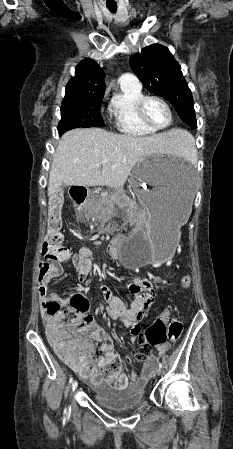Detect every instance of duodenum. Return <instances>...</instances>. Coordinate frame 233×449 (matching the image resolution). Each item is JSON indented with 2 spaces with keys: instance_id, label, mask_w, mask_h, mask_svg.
<instances>
[{
  "instance_id": "duodenum-1",
  "label": "duodenum",
  "mask_w": 233,
  "mask_h": 449,
  "mask_svg": "<svg viewBox=\"0 0 233 449\" xmlns=\"http://www.w3.org/2000/svg\"><path fill=\"white\" fill-rule=\"evenodd\" d=\"M70 191L72 206H85L89 193L88 186H72Z\"/></svg>"
}]
</instances>
